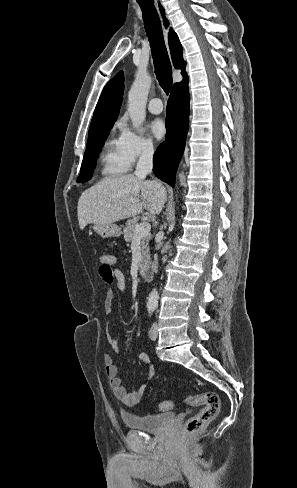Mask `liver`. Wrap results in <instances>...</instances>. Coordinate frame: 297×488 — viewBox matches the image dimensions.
<instances>
[{"mask_svg": "<svg viewBox=\"0 0 297 488\" xmlns=\"http://www.w3.org/2000/svg\"><path fill=\"white\" fill-rule=\"evenodd\" d=\"M167 199L165 187L136 175L109 177L85 190L78 201L80 229L87 224H112L147 210L159 214Z\"/></svg>", "mask_w": 297, "mask_h": 488, "instance_id": "liver-1", "label": "liver"}]
</instances>
